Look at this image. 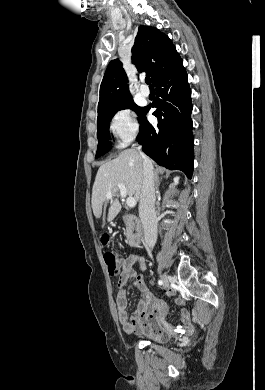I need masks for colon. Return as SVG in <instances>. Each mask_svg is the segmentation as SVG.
Wrapping results in <instances>:
<instances>
[{"label": "colon", "mask_w": 265, "mask_h": 390, "mask_svg": "<svg viewBox=\"0 0 265 390\" xmlns=\"http://www.w3.org/2000/svg\"><path fill=\"white\" fill-rule=\"evenodd\" d=\"M109 241L108 238L105 239L107 243ZM105 264L108 269V273L112 276L117 275L120 271L121 261L119 257L113 251H106L103 255ZM178 304H183L181 299H177Z\"/></svg>", "instance_id": "colon-1"}]
</instances>
